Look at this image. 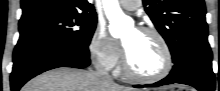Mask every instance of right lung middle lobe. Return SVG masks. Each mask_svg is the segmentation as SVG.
Segmentation results:
<instances>
[{
    "label": "right lung middle lobe",
    "instance_id": "1",
    "mask_svg": "<svg viewBox=\"0 0 220 91\" xmlns=\"http://www.w3.org/2000/svg\"><path fill=\"white\" fill-rule=\"evenodd\" d=\"M96 14L64 13L19 24L20 37L43 36L73 48H88L96 28Z\"/></svg>",
    "mask_w": 220,
    "mask_h": 91
}]
</instances>
